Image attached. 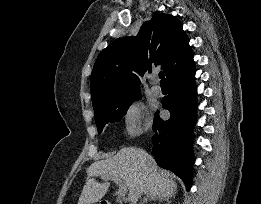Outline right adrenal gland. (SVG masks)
<instances>
[{
  "instance_id": "obj_1",
  "label": "right adrenal gland",
  "mask_w": 261,
  "mask_h": 204,
  "mask_svg": "<svg viewBox=\"0 0 261 204\" xmlns=\"http://www.w3.org/2000/svg\"><path fill=\"white\" fill-rule=\"evenodd\" d=\"M155 199H159V201H166V199H164V198H160V197L157 198V197H154L151 195H147L146 197H144L143 201H141L140 204H145L148 201L155 200Z\"/></svg>"
}]
</instances>
